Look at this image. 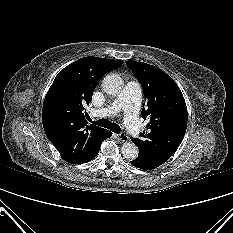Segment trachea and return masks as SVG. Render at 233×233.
Here are the masks:
<instances>
[{
    "label": "trachea",
    "mask_w": 233,
    "mask_h": 233,
    "mask_svg": "<svg viewBox=\"0 0 233 233\" xmlns=\"http://www.w3.org/2000/svg\"><path fill=\"white\" fill-rule=\"evenodd\" d=\"M93 123L95 125H98V126H101L104 128H108L111 131H113L114 133H120V131H121V128L118 124H116L114 122L112 123L111 121H109L107 119H99L97 121H93Z\"/></svg>",
    "instance_id": "obj_1"
}]
</instances>
